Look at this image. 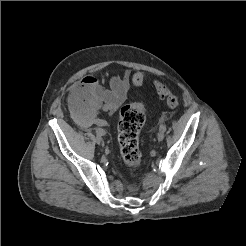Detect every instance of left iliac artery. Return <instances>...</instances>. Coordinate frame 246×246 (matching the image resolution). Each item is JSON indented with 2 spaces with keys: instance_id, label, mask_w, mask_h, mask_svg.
Returning a JSON list of instances; mask_svg holds the SVG:
<instances>
[{
  "instance_id": "1",
  "label": "left iliac artery",
  "mask_w": 246,
  "mask_h": 246,
  "mask_svg": "<svg viewBox=\"0 0 246 246\" xmlns=\"http://www.w3.org/2000/svg\"><path fill=\"white\" fill-rule=\"evenodd\" d=\"M159 130L165 132L166 131V126L165 125H161L159 127Z\"/></svg>"
}]
</instances>
